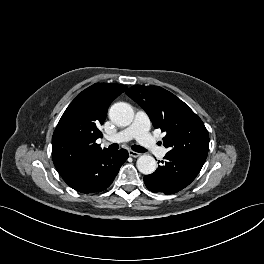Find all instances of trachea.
Here are the masks:
<instances>
[{
    "instance_id": "3493384b",
    "label": "trachea",
    "mask_w": 264,
    "mask_h": 264,
    "mask_svg": "<svg viewBox=\"0 0 264 264\" xmlns=\"http://www.w3.org/2000/svg\"><path fill=\"white\" fill-rule=\"evenodd\" d=\"M109 148L112 149V150H117L119 148V146H118V144L114 143V144H111L109 146ZM131 148H132L133 151L139 152V153H144V152L147 151L145 148H143V147H141L139 145H133Z\"/></svg>"
}]
</instances>
